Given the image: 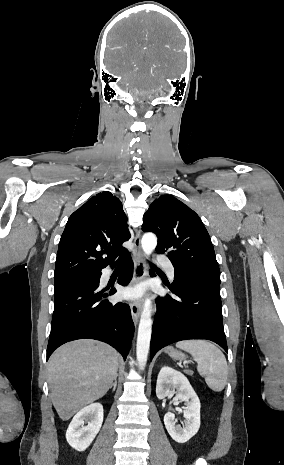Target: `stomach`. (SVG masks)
I'll use <instances>...</instances> for the list:
<instances>
[{"mask_svg":"<svg viewBox=\"0 0 284 465\" xmlns=\"http://www.w3.org/2000/svg\"><path fill=\"white\" fill-rule=\"evenodd\" d=\"M165 351L171 359H174V361H186V359H188L187 355H185L183 351H177V349H173V347H167Z\"/></svg>","mask_w":284,"mask_h":465,"instance_id":"obj_1","label":"stomach"}]
</instances>
